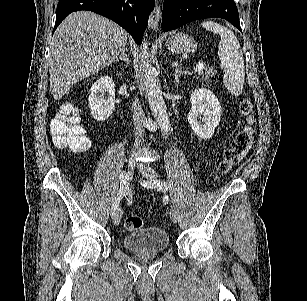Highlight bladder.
Returning a JSON list of instances; mask_svg holds the SVG:
<instances>
[{"instance_id":"bladder-1","label":"bladder","mask_w":307,"mask_h":301,"mask_svg":"<svg viewBox=\"0 0 307 301\" xmlns=\"http://www.w3.org/2000/svg\"><path fill=\"white\" fill-rule=\"evenodd\" d=\"M122 244L131 251L160 252L168 248L169 237L162 229L150 227L124 236Z\"/></svg>"}]
</instances>
